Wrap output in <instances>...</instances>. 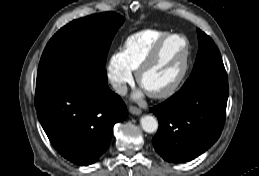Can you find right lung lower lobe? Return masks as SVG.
Returning a JSON list of instances; mask_svg holds the SVG:
<instances>
[{
	"label": "right lung lower lobe",
	"mask_w": 259,
	"mask_h": 176,
	"mask_svg": "<svg viewBox=\"0 0 259 176\" xmlns=\"http://www.w3.org/2000/svg\"><path fill=\"white\" fill-rule=\"evenodd\" d=\"M35 107L57 152L81 166L99 159L113 125L128 117L124 102L108 87L105 65L82 59L38 68Z\"/></svg>",
	"instance_id": "obj_1"
}]
</instances>
